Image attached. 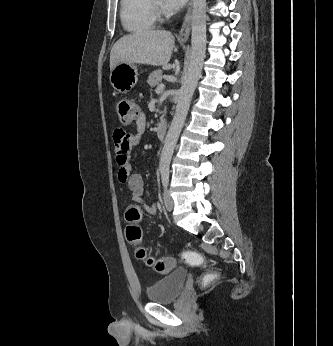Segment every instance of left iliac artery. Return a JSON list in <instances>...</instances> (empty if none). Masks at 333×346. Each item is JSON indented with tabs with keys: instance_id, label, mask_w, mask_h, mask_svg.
Instances as JSON below:
<instances>
[{
	"instance_id": "1",
	"label": "left iliac artery",
	"mask_w": 333,
	"mask_h": 346,
	"mask_svg": "<svg viewBox=\"0 0 333 346\" xmlns=\"http://www.w3.org/2000/svg\"><path fill=\"white\" fill-rule=\"evenodd\" d=\"M161 179L163 186L166 188L169 182V169L168 168H162L161 169Z\"/></svg>"
}]
</instances>
